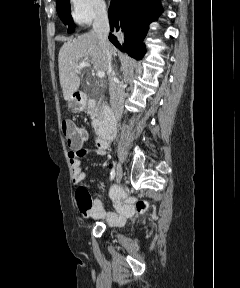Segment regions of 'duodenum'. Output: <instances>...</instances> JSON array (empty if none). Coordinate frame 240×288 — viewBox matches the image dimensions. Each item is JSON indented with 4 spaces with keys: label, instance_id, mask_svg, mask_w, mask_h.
<instances>
[{
    "label": "duodenum",
    "instance_id": "duodenum-1",
    "mask_svg": "<svg viewBox=\"0 0 240 288\" xmlns=\"http://www.w3.org/2000/svg\"><path fill=\"white\" fill-rule=\"evenodd\" d=\"M75 99L82 109L93 113L95 124L99 130L97 142L100 146L107 148L115 137V123L111 111L97 108L94 101L88 100L83 95L78 94Z\"/></svg>",
    "mask_w": 240,
    "mask_h": 288
}]
</instances>
